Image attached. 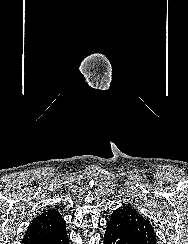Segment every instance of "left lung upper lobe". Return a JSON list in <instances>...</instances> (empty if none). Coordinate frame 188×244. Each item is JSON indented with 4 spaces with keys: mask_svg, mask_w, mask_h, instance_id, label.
<instances>
[{
    "mask_svg": "<svg viewBox=\"0 0 188 244\" xmlns=\"http://www.w3.org/2000/svg\"><path fill=\"white\" fill-rule=\"evenodd\" d=\"M114 212L121 215L143 239L150 244H156V236L151 224L141 214L137 213L135 209L128 205L120 207Z\"/></svg>",
    "mask_w": 188,
    "mask_h": 244,
    "instance_id": "5c2ea615",
    "label": "left lung upper lobe"
}]
</instances>
